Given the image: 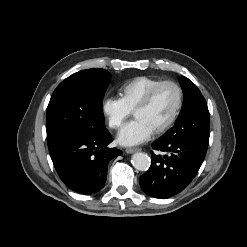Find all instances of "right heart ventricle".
I'll use <instances>...</instances> for the list:
<instances>
[{"label":"right heart ventricle","instance_id":"1","mask_svg":"<svg viewBox=\"0 0 247 247\" xmlns=\"http://www.w3.org/2000/svg\"><path fill=\"white\" fill-rule=\"evenodd\" d=\"M161 81L151 76L135 77L120 88L121 100L130 111H133L147 92Z\"/></svg>","mask_w":247,"mask_h":247}]
</instances>
